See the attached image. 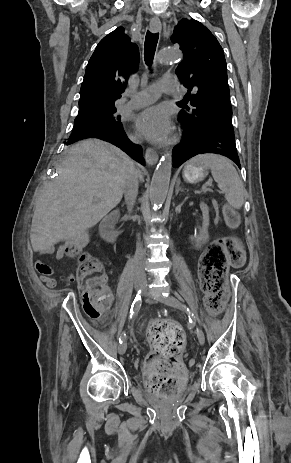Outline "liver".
<instances>
[{
	"label": "liver",
	"mask_w": 291,
	"mask_h": 463,
	"mask_svg": "<svg viewBox=\"0 0 291 463\" xmlns=\"http://www.w3.org/2000/svg\"><path fill=\"white\" fill-rule=\"evenodd\" d=\"M133 166L123 151L99 139L67 149L57 177L37 198L30 234L33 249L53 253L56 243L95 226L121 201ZM137 174L143 180L139 170Z\"/></svg>",
	"instance_id": "obj_1"
}]
</instances>
